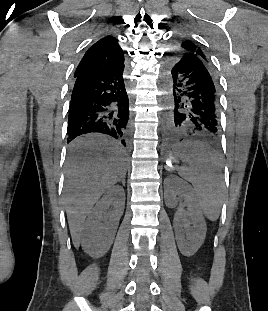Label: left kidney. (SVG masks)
<instances>
[{"label":"left kidney","mask_w":268,"mask_h":311,"mask_svg":"<svg viewBox=\"0 0 268 311\" xmlns=\"http://www.w3.org/2000/svg\"><path fill=\"white\" fill-rule=\"evenodd\" d=\"M165 203L170 208L185 206L174 215L173 226L180 252L187 257L194 255L206 237V223L192 187L179 177L171 176L164 181ZM182 200L184 202L182 203ZM191 225V227H190ZM190 232L185 236L184 229Z\"/></svg>","instance_id":"left-kidney-1"}]
</instances>
